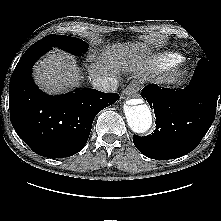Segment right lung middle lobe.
Wrapping results in <instances>:
<instances>
[{"label":"right lung middle lobe","mask_w":221,"mask_h":221,"mask_svg":"<svg viewBox=\"0 0 221 221\" xmlns=\"http://www.w3.org/2000/svg\"><path fill=\"white\" fill-rule=\"evenodd\" d=\"M39 41L48 43L52 47H58L75 55H81L88 49V44L85 41L66 35L51 34Z\"/></svg>","instance_id":"right-lung-middle-lobe-1"}]
</instances>
